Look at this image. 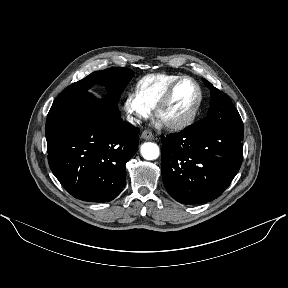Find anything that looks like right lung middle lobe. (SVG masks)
<instances>
[{
  "instance_id": "right-lung-middle-lobe-1",
  "label": "right lung middle lobe",
  "mask_w": 288,
  "mask_h": 288,
  "mask_svg": "<svg viewBox=\"0 0 288 288\" xmlns=\"http://www.w3.org/2000/svg\"><path fill=\"white\" fill-rule=\"evenodd\" d=\"M133 77V71L127 68H108L102 71L93 72L80 81H77L68 86L58 97L54 100L52 107L54 108L63 101L79 96L95 84L99 83L107 87L108 99L106 100L116 111L118 110V102L122 92L127 86L128 82ZM120 112V111H119Z\"/></svg>"
}]
</instances>
